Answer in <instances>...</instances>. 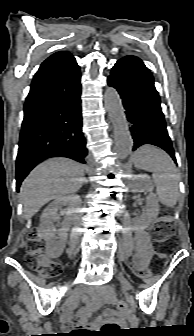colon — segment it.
<instances>
[{
  "mask_svg": "<svg viewBox=\"0 0 194 336\" xmlns=\"http://www.w3.org/2000/svg\"><path fill=\"white\" fill-rule=\"evenodd\" d=\"M176 226L169 210H163L158 223L152 228V237L158 246L157 259H163L173 254L176 247L175 240ZM26 264L34 268L42 277L54 278L61 274L62 265L60 262L50 258L35 232L28 238L27 251L25 255ZM138 274L143 278H148V273L140 269ZM116 308L119 312H125L127 306L124 302H118ZM123 332L116 324H106L100 331L99 336H119Z\"/></svg>",
  "mask_w": 194,
  "mask_h": 336,
  "instance_id": "obj_1",
  "label": "colon"
}]
</instances>
